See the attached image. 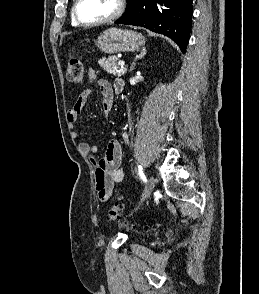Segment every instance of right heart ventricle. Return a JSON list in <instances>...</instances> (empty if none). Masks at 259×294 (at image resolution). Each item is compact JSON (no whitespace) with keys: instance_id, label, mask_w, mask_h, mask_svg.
<instances>
[{"instance_id":"right-heart-ventricle-1","label":"right heart ventricle","mask_w":259,"mask_h":294,"mask_svg":"<svg viewBox=\"0 0 259 294\" xmlns=\"http://www.w3.org/2000/svg\"><path fill=\"white\" fill-rule=\"evenodd\" d=\"M72 25H73V26H78V25L74 22L73 18H72Z\"/></svg>"}]
</instances>
